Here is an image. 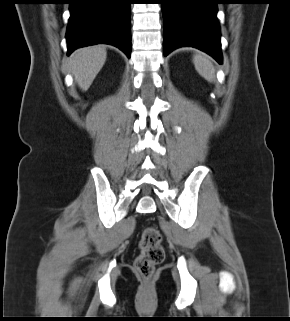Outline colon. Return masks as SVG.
<instances>
[{
  "label": "colon",
  "mask_w": 290,
  "mask_h": 321,
  "mask_svg": "<svg viewBox=\"0 0 290 321\" xmlns=\"http://www.w3.org/2000/svg\"><path fill=\"white\" fill-rule=\"evenodd\" d=\"M139 247L135 270L140 277L149 279L153 276L155 267L162 263L165 257L160 232L154 227L146 228L141 235Z\"/></svg>",
  "instance_id": "1"
}]
</instances>
